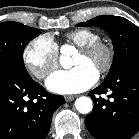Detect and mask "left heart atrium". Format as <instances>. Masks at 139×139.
Returning <instances> with one entry per match:
<instances>
[{"label":"left heart atrium","mask_w":139,"mask_h":139,"mask_svg":"<svg viewBox=\"0 0 139 139\" xmlns=\"http://www.w3.org/2000/svg\"><path fill=\"white\" fill-rule=\"evenodd\" d=\"M98 79V72L86 65L69 70L53 72L46 80V87L58 94H73L92 87Z\"/></svg>","instance_id":"obj_1"}]
</instances>
